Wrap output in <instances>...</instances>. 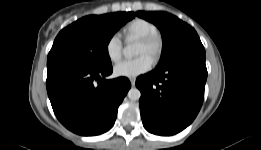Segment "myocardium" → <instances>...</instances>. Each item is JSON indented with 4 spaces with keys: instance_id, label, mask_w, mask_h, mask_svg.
I'll return each instance as SVG.
<instances>
[{
    "instance_id": "myocardium-1",
    "label": "myocardium",
    "mask_w": 261,
    "mask_h": 150,
    "mask_svg": "<svg viewBox=\"0 0 261 150\" xmlns=\"http://www.w3.org/2000/svg\"><path fill=\"white\" fill-rule=\"evenodd\" d=\"M139 42L146 46L149 56L157 62L163 53L164 42L160 34L155 33L139 39Z\"/></svg>"
}]
</instances>
